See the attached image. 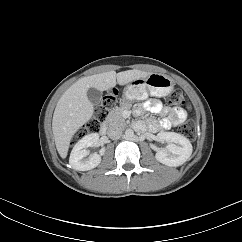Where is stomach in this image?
<instances>
[{
    "instance_id": "1",
    "label": "stomach",
    "mask_w": 242,
    "mask_h": 242,
    "mask_svg": "<svg viewBox=\"0 0 242 242\" xmlns=\"http://www.w3.org/2000/svg\"><path fill=\"white\" fill-rule=\"evenodd\" d=\"M175 82L167 75L152 73L146 78H138L132 81L126 88V101L146 99L150 93L152 96H167L174 89Z\"/></svg>"
}]
</instances>
